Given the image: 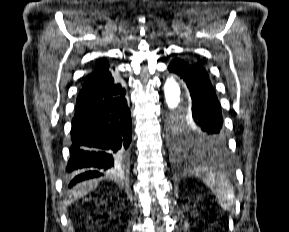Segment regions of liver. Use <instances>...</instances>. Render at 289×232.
I'll return each instance as SVG.
<instances>
[{"label": "liver", "mask_w": 289, "mask_h": 232, "mask_svg": "<svg viewBox=\"0 0 289 232\" xmlns=\"http://www.w3.org/2000/svg\"><path fill=\"white\" fill-rule=\"evenodd\" d=\"M99 183L98 179L84 181L77 186H75L69 194V202L77 200L78 198L83 197L84 195L91 192L94 188L97 187Z\"/></svg>", "instance_id": "liver-1"}]
</instances>
